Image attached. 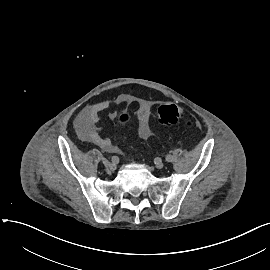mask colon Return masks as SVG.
Masks as SVG:
<instances>
[{
  "instance_id": "obj_1",
  "label": "colon",
  "mask_w": 270,
  "mask_h": 270,
  "mask_svg": "<svg viewBox=\"0 0 270 270\" xmlns=\"http://www.w3.org/2000/svg\"><path fill=\"white\" fill-rule=\"evenodd\" d=\"M119 118V125L122 126L126 124L130 115L128 113H122L119 115ZM156 120L159 124L166 127H173L179 124L187 127H193L195 125V120L187 116L186 112L175 104L160 107L156 114Z\"/></svg>"
}]
</instances>
